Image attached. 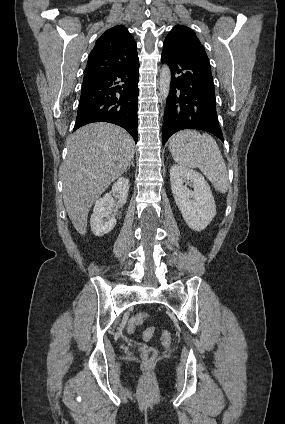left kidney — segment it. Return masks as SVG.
I'll list each match as a JSON object with an SVG mask.
<instances>
[{
	"label": "left kidney",
	"instance_id": "5707ae66",
	"mask_svg": "<svg viewBox=\"0 0 285 424\" xmlns=\"http://www.w3.org/2000/svg\"><path fill=\"white\" fill-rule=\"evenodd\" d=\"M171 189L186 224L195 231L205 229L216 215L209 184L197 171L180 165L170 169ZM185 184L192 186L189 189Z\"/></svg>",
	"mask_w": 285,
	"mask_h": 424
}]
</instances>
